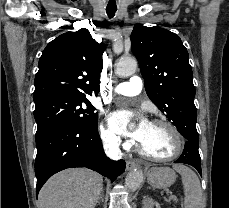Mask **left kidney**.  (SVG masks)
Returning <instances> with one entry per match:
<instances>
[{"mask_svg": "<svg viewBox=\"0 0 229 208\" xmlns=\"http://www.w3.org/2000/svg\"><path fill=\"white\" fill-rule=\"evenodd\" d=\"M143 208H152V200H150V198H147V196H144Z\"/></svg>", "mask_w": 229, "mask_h": 208, "instance_id": "obj_1", "label": "left kidney"}]
</instances>
